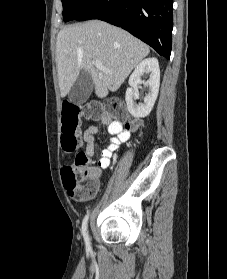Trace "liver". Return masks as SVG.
<instances>
[{"instance_id": "1", "label": "liver", "mask_w": 227, "mask_h": 279, "mask_svg": "<svg viewBox=\"0 0 227 279\" xmlns=\"http://www.w3.org/2000/svg\"><path fill=\"white\" fill-rule=\"evenodd\" d=\"M149 47L127 31L104 21L91 20L60 30L56 61L61 97H65L79 74L88 72L98 98L119 89L131 71L144 59ZM99 60L110 72L95 67Z\"/></svg>"}]
</instances>
